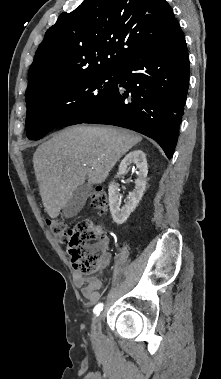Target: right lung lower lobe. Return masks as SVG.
I'll return each mask as SVG.
<instances>
[{
	"mask_svg": "<svg viewBox=\"0 0 221 379\" xmlns=\"http://www.w3.org/2000/svg\"><path fill=\"white\" fill-rule=\"evenodd\" d=\"M189 84V57L179 28L118 69L108 100L79 123L132 129L155 141L170 159L177 143Z\"/></svg>",
	"mask_w": 221,
	"mask_h": 379,
	"instance_id": "obj_1",
	"label": "right lung lower lobe"
}]
</instances>
